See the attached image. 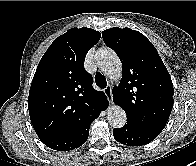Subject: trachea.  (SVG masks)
<instances>
[{
    "label": "trachea",
    "mask_w": 196,
    "mask_h": 166,
    "mask_svg": "<svg viewBox=\"0 0 196 166\" xmlns=\"http://www.w3.org/2000/svg\"><path fill=\"white\" fill-rule=\"evenodd\" d=\"M95 82L100 88H104L107 86V81L101 73H96Z\"/></svg>",
    "instance_id": "obj_1"
}]
</instances>
